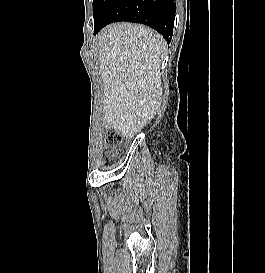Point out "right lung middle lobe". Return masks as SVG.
<instances>
[{
  "label": "right lung middle lobe",
  "instance_id": "dd1d6c3e",
  "mask_svg": "<svg viewBox=\"0 0 265 273\" xmlns=\"http://www.w3.org/2000/svg\"><path fill=\"white\" fill-rule=\"evenodd\" d=\"M113 0H93L94 27L103 20Z\"/></svg>",
  "mask_w": 265,
  "mask_h": 273
}]
</instances>
